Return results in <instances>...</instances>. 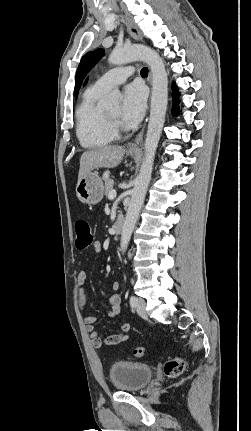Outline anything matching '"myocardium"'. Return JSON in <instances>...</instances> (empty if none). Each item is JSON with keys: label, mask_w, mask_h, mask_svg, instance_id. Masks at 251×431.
Listing matches in <instances>:
<instances>
[{"label": "myocardium", "mask_w": 251, "mask_h": 431, "mask_svg": "<svg viewBox=\"0 0 251 431\" xmlns=\"http://www.w3.org/2000/svg\"><path fill=\"white\" fill-rule=\"evenodd\" d=\"M105 115H106V118H107L109 124L112 126V128L114 130L117 131L118 129L123 127V124H122L120 118L113 117L110 114H108L107 112H105Z\"/></svg>", "instance_id": "f54148a6"}]
</instances>
